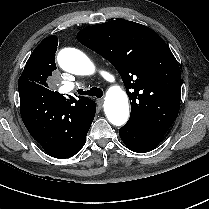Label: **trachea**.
Wrapping results in <instances>:
<instances>
[{"mask_svg":"<svg viewBox=\"0 0 209 209\" xmlns=\"http://www.w3.org/2000/svg\"><path fill=\"white\" fill-rule=\"evenodd\" d=\"M77 91L79 95H84V96H92V97H97V98H101L103 96L102 89L97 88V87H92L86 91H83V89H80Z\"/></svg>","mask_w":209,"mask_h":209,"instance_id":"trachea-1","label":"trachea"}]
</instances>
